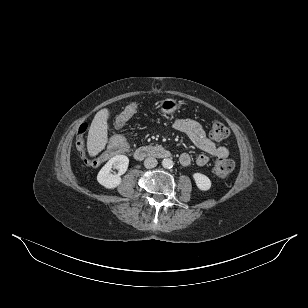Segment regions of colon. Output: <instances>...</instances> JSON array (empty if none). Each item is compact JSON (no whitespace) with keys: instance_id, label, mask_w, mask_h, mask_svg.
Here are the masks:
<instances>
[{"instance_id":"1","label":"colon","mask_w":308,"mask_h":308,"mask_svg":"<svg viewBox=\"0 0 308 308\" xmlns=\"http://www.w3.org/2000/svg\"><path fill=\"white\" fill-rule=\"evenodd\" d=\"M138 110L136 103L129 104L121 112V114L115 120V127H121L128 119H130ZM87 130V124L83 123L80 125L77 133V148L81 153L82 158L88 165L97 166L101 164L105 158H113L115 153L124 154L126 150V142L124 141L123 134H110L109 142L110 147L105 149L104 154L95 158H90L86 154L84 135ZM229 136V129L219 121L212 124L210 130V137L215 141H222ZM234 169V162L231 159L218 157L213 164L212 172L216 177L224 178L227 177Z\"/></svg>"}]
</instances>
